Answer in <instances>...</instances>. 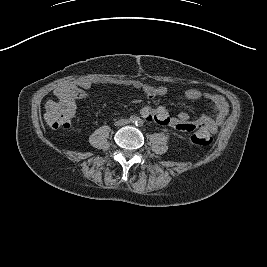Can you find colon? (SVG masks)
<instances>
[{"label":"colon","instance_id":"1","mask_svg":"<svg viewBox=\"0 0 267 267\" xmlns=\"http://www.w3.org/2000/svg\"><path fill=\"white\" fill-rule=\"evenodd\" d=\"M45 120L54 130L65 129L71 125V116L68 110L64 111L62 106L49 101L45 105ZM192 142L198 146H208L211 143V135L205 132L197 131L191 138Z\"/></svg>","mask_w":267,"mask_h":267}]
</instances>
